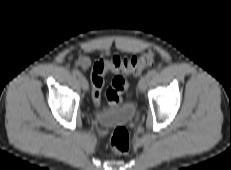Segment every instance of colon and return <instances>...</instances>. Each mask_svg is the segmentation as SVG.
I'll return each instance as SVG.
<instances>
[{
  "mask_svg": "<svg viewBox=\"0 0 231 170\" xmlns=\"http://www.w3.org/2000/svg\"><path fill=\"white\" fill-rule=\"evenodd\" d=\"M154 51H147L138 57L121 58L114 56L111 59H98L94 62L91 70L92 99L95 105L101 101L104 77L107 72H113L115 77L106 92V98L111 106L120 103L122 94L128 89L126 75L140 74L155 59ZM129 133L124 127L116 128L110 137V147L114 153L123 154L129 149Z\"/></svg>",
  "mask_w": 231,
  "mask_h": 170,
  "instance_id": "5ec220e1",
  "label": "colon"
}]
</instances>
